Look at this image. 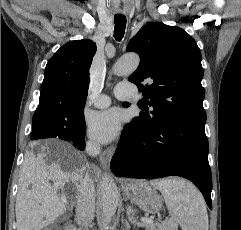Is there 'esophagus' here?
<instances>
[{"label":"esophagus","instance_id":"esophagus-1","mask_svg":"<svg viewBox=\"0 0 241 230\" xmlns=\"http://www.w3.org/2000/svg\"><path fill=\"white\" fill-rule=\"evenodd\" d=\"M114 153V147H109L104 150L100 156L101 164L104 168H109L111 157Z\"/></svg>","mask_w":241,"mask_h":230}]
</instances>
